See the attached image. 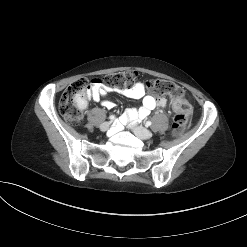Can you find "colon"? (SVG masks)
<instances>
[{"instance_id":"1","label":"colon","mask_w":247,"mask_h":247,"mask_svg":"<svg viewBox=\"0 0 247 247\" xmlns=\"http://www.w3.org/2000/svg\"><path fill=\"white\" fill-rule=\"evenodd\" d=\"M136 77V72L127 70L106 75L97 81L109 88L122 89L132 84ZM90 85L91 82L85 78L74 81L67 87L60 99V113L71 125H78L83 119V110L87 105ZM147 87L154 95H168L174 98L172 132L174 135L182 134L190 116V106L187 99L183 97L182 87L166 79L150 80Z\"/></svg>"}]
</instances>
